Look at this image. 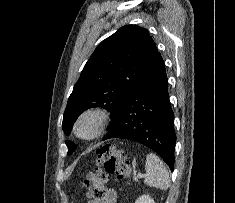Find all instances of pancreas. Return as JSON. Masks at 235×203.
<instances>
[{
	"label": "pancreas",
	"instance_id": "1",
	"mask_svg": "<svg viewBox=\"0 0 235 203\" xmlns=\"http://www.w3.org/2000/svg\"><path fill=\"white\" fill-rule=\"evenodd\" d=\"M135 181H138V177L137 176H134L133 178Z\"/></svg>",
	"mask_w": 235,
	"mask_h": 203
}]
</instances>
